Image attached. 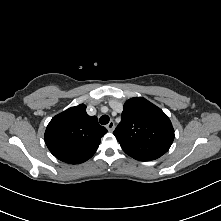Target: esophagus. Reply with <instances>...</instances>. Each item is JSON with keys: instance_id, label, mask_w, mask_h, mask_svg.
<instances>
[{"instance_id": "1", "label": "esophagus", "mask_w": 221, "mask_h": 221, "mask_svg": "<svg viewBox=\"0 0 221 221\" xmlns=\"http://www.w3.org/2000/svg\"><path fill=\"white\" fill-rule=\"evenodd\" d=\"M106 128L108 131H113L114 128H115V123L113 121H110L107 125H106Z\"/></svg>"}]
</instances>
